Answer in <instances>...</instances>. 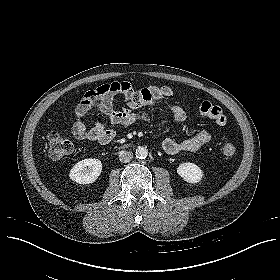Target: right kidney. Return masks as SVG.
<instances>
[{
    "mask_svg": "<svg viewBox=\"0 0 280 280\" xmlns=\"http://www.w3.org/2000/svg\"><path fill=\"white\" fill-rule=\"evenodd\" d=\"M101 170L102 164L98 159L88 158L76 163L69 176L70 179L79 184H90L97 180Z\"/></svg>",
    "mask_w": 280,
    "mask_h": 280,
    "instance_id": "obj_1",
    "label": "right kidney"
}]
</instances>
